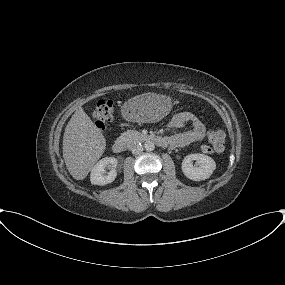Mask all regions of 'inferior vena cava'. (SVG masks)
I'll use <instances>...</instances> for the list:
<instances>
[{
    "label": "inferior vena cava",
    "instance_id": "inferior-vena-cava-1",
    "mask_svg": "<svg viewBox=\"0 0 285 285\" xmlns=\"http://www.w3.org/2000/svg\"><path fill=\"white\" fill-rule=\"evenodd\" d=\"M131 151H132V154L133 155H139L142 153L143 151V147L141 145H134L132 148H131Z\"/></svg>",
    "mask_w": 285,
    "mask_h": 285
}]
</instances>
